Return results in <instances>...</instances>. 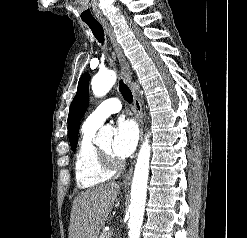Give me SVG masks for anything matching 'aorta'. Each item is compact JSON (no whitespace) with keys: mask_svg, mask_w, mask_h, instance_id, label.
I'll return each instance as SVG.
<instances>
[{"mask_svg":"<svg viewBox=\"0 0 247 238\" xmlns=\"http://www.w3.org/2000/svg\"><path fill=\"white\" fill-rule=\"evenodd\" d=\"M116 82V74L113 71L99 73L93 77L91 86L95 96L106 95ZM113 132L110 126L102 127L97 134V141L111 140ZM149 135H146L137 162L131 187V202L129 206V238H139L143 223L144 209L146 203L147 181L149 175L150 145Z\"/></svg>","mask_w":247,"mask_h":238,"instance_id":"aorta-1","label":"aorta"}]
</instances>
